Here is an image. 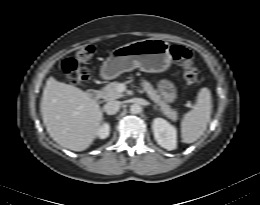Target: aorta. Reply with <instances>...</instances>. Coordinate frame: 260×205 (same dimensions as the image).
Returning <instances> with one entry per match:
<instances>
[{
  "label": "aorta",
  "mask_w": 260,
  "mask_h": 205,
  "mask_svg": "<svg viewBox=\"0 0 260 205\" xmlns=\"http://www.w3.org/2000/svg\"><path fill=\"white\" fill-rule=\"evenodd\" d=\"M130 112H131L132 114H138V113H140V112H141V107H140V105H139V104H132V105L130 106Z\"/></svg>",
  "instance_id": "obj_1"
}]
</instances>
